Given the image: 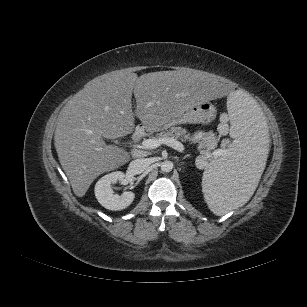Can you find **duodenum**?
<instances>
[{
    "mask_svg": "<svg viewBox=\"0 0 307 307\" xmlns=\"http://www.w3.org/2000/svg\"><path fill=\"white\" fill-rule=\"evenodd\" d=\"M146 132L147 131L144 127H138L132 135L133 141H139L141 138H143L146 135Z\"/></svg>",
    "mask_w": 307,
    "mask_h": 307,
    "instance_id": "obj_1",
    "label": "duodenum"
}]
</instances>
